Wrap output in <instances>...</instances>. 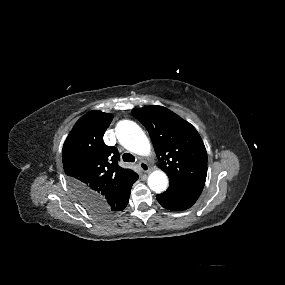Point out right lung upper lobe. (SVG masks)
Here are the masks:
<instances>
[{
	"instance_id": "obj_1",
	"label": "right lung upper lobe",
	"mask_w": 285,
	"mask_h": 285,
	"mask_svg": "<svg viewBox=\"0 0 285 285\" xmlns=\"http://www.w3.org/2000/svg\"><path fill=\"white\" fill-rule=\"evenodd\" d=\"M112 114L99 110L81 117L67 137L62 152L63 167L73 192L82 205L102 204L109 215L131 189L138 175L118 165L119 153L102 137Z\"/></svg>"
}]
</instances>
